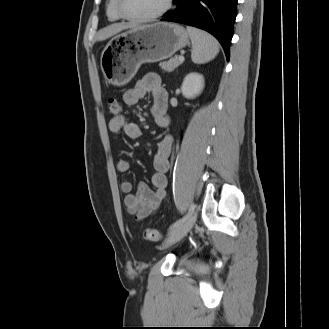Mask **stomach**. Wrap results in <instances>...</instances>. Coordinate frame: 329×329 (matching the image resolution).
Segmentation results:
<instances>
[{
    "label": "stomach",
    "mask_w": 329,
    "mask_h": 329,
    "mask_svg": "<svg viewBox=\"0 0 329 329\" xmlns=\"http://www.w3.org/2000/svg\"><path fill=\"white\" fill-rule=\"evenodd\" d=\"M189 42L184 27L170 22L141 25L113 37L102 51L105 79L115 86L128 83L144 63L171 57Z\"/></svg>",
    "instance_id": "stomach-1"
}]
</instances>
